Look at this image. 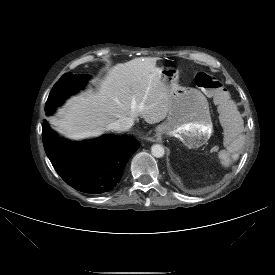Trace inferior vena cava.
Returning a JSON list of instances; mask_svg holds the SVG:
<instances>
[{
  "label": "inferior vena cava",
  "mask_w": 275,
  "mask_h": 275,
  "mask_svg": "<svg viewBox=\"0 0 275 275\" xmlns=\"http://www.w3.org/2000/svg\"><path fill=\"white\" fill-rule=\"evenodd\" d=\"M134 123V120L130 117H121L112 123L109 128L115 131H127Z\"/></svg>",
  "instance_id": "602c4592"
}]
</instances>
